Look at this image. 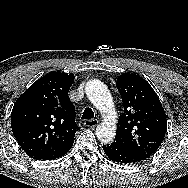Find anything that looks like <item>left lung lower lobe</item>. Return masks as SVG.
Returning <instances> with one entry per match:
<instances>
[{"mask_svg":"<svg viewBox=\"0 0 188 188\" xmlns=\"http://www.w3.org/2000/svg\"><path fill=\"white\" fill-rule=\"evenodd\" d=\"M103 150L110 160L117 163L134 164L147 159L143 155L114 142L103 145Z\"/></svg>","mask_w":188,"mask_h":188,"instance_id":"obj_1","label":"left lung lower lobe"}]
</instances>
